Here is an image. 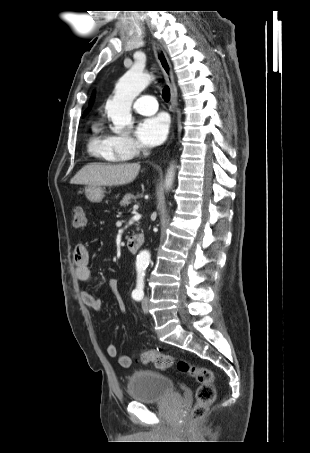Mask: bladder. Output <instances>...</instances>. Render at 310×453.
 <instances>
[{
	"mask_svg": "<svg viewBox=\"0 0 310 453\" xmlns=\"http://www.w3.org/2000/svg\"><path fill=\"white\" fill-rule=\"evenodd\" d=\"M127 392L134 402L152 403L172 397L175 388L173 381L162 373L138 370L129 376Z\"/></svg>",
	"mask_w": 310,
	"mask_h": 453,
	"instance_id": "bladder-1",
	"label": "bladder"
}]
</instances>
